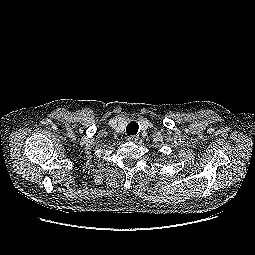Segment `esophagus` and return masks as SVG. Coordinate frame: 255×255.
<instances>
[{
  "mask_svg": "<svg viewBox=\"0 0 255 255\" xmlns=\"http://www.w3.org/2000/svg\"><path fill=\"white\" fill-rule=\"evenodd\" d=\"M138 139H139L138 135H131V136L128 137L129 142H137Z\"/></svg>",
  "mask_w": 255,
  "mask_h": 255,
  "instance_id": "34e87169",
  "label": "esophagus"
}]
</instances>
